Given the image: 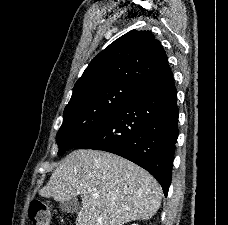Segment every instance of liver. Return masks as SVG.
I'll return each instance as SVG.
<instances>
[{"instance_id":"obj_1","label":"liver","mask_w":228,"mask_h":225,"mask_svg":"<svg viewBox=\"0 0 228 225\" xmlns=\"http://www.w3.org/2000/svg\"><path fill=\"white\" fill-rule=\"evenodd\" d=\"M39 195L55 201L80 195L76 225H125L152 219L161 205L162 189L152 175L127 159L78 149L61 161Z\"/></svg>"}]
</instances>
